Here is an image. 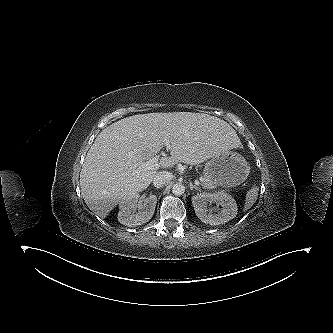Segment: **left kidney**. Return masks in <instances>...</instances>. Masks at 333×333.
<instances>
[{
    "label": "left kidney",
    "mask_w": 333,
    "mask_h": 333,
    "mask_svg": "<svg viewBox=\"0 0 333 333\" xmlns=\"http://www.w3.org/2000/svg\"><path fill=\"white\" fill-rule=\"evenodd\" d=\"M215 203L222 208H216L213 213L212 210L208 213L207 205ZM192 204L197 217L204 223L210 225H219L228 222L237 215V203L234 198L223 192L218 191L215 193H200L192 197Z\"/></svg>",
    "instance_id": "left-kidney-1"
}]
</instances>
